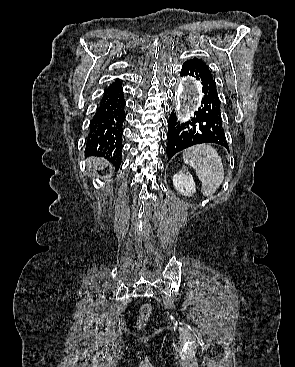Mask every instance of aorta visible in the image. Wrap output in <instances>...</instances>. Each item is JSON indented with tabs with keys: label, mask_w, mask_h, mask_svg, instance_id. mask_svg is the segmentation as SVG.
<instances>
[{
	"label": "aorta",
	"mask_w": 295,
	"mask_h": 367,
	"mask_svg": "<svg viewBox=\"0 0 295 367\" xmlns=\"http://www.w3.org/2000/svg\"><path fill=\"white\" fill-rule=\"evenodd\" d=\"M175 95L176 110L178 113H182L192 111L200 104L202 92L196 80L187 78L179 84Z\"/></svg>",
	"instance_id": "aorta-1"
}]
</instances>
